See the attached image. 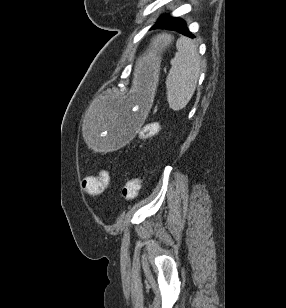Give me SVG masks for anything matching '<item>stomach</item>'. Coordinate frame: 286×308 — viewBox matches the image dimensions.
<instances>
[{"label": "stomach", "instance_id": "stomach-1", "mask_svg": "<svg viewBox=\"0 0 286 308\" xmlns=\"http://www.w3.org/2000/svg\"><path fill=\"white\" fill-rule=\"evenodd\" d=\"M168 34L158 35L152 40L149 50L139 48L131 66L137 73L132 78L134 88L153 89L158 81L160 54L172 43ZM143 55H146L145 58ZM95 112H87L89 125H83L86 143L93 144L98 153H107L108 149H121V144H135L133 132L135 125H143L145 112L142 107H149L146 91H129L128 96H101L94 100Z\"/></svg>", "mask_w": 286, "mask_h": 308}]
</instances>
